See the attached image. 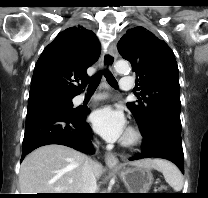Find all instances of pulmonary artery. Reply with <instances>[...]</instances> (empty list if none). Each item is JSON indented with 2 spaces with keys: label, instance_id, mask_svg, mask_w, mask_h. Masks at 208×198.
Returning a JSON list of instances; mask_svg holds the SVG:
<instances>
[{
  "label": "pulmonary artery",
  "instance_id": "e3ab8cb5",
  "mask_svg": "<svg viewBox=\"0 0 208 198\" xmlns=\"http://www.w3.org/2000/svg\"><path fill=\"white\" fill-rule=\"evenodd\" d=\"M133 87V83H132V79L130 77H123L121 80H120V88L121 90L123 91H129L131 90ZM103 97L102 96H95L93 97V100H98V99H102ZM81 100H84L85 99V96L82 95L80 97Z\"/></svg>",
  "mask_w": 208,
  "mask_h": 198
}]
</instances>
